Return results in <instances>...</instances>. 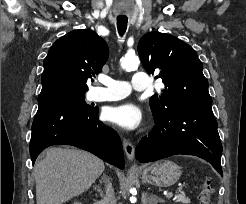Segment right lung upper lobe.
I'll list each match as a JSON object with an SVG mask.
<instances>
[{
  "mask_svg": "<svg viewBox=\"0 0 246 204\" xmlns=\"http://www.w3.org/2000/svg\"><path fill=\"white\" fill-rule=\"evenodd\" d=\"M109 55L94 31L78 29L58 39L44 60L38 102L68 93H86L87 79L101 72Z\"/></svg>",
  "mask_w": 246,
  "mask_h": 204,
  "instance_id": "1",
  "label": "right lung upper lobe"
}]
</instances>
